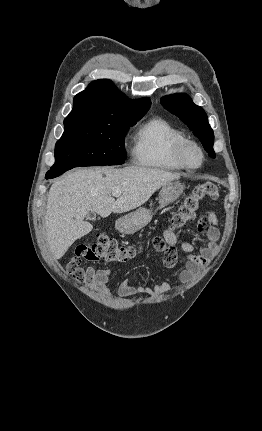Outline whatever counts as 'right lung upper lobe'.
Instances as JSON below:
<instances>
[{
  "label": "right lung upper lobe",
  "instance_id": "cb5924a9",
  "mask_svg": "<svg viewBox=\"0 0 262 431\" xmlns=\"http://www.w3.org/2000/svg\"><path fill=\"white\" fill-rule=\"evenodd\" d=\"M149 98L129 100L107 79L92 82L74 97V106L64 124L80 121H111L144 116L149 110Z\"/></svg>",
  "mask_w": 262,
  "mask_h": 431
}]
</instances>
